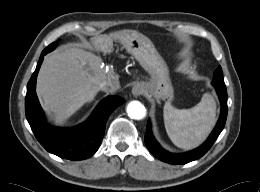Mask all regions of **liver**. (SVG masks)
Instances as JSON below:
<instances>
[{"mask_svg": "<svg viewBox=\"0 0 260 192\" xmlns=\"http://www.w3.org/2000/svg\"><path fill=\"white\" fill-rule=\"evenodd\" d=\"M116 34H103L91 39L97 51L110 53ZM118 78L103 66L102 60L92 52L63 46L44 58L37 77V92L46 111L61 120L94 100L101 90L100 84Z\"/></svg>", "mask_w": 260, "mask_h": 192, "instance_id": "6515ba94", "label": "liver"}]
</instances>
